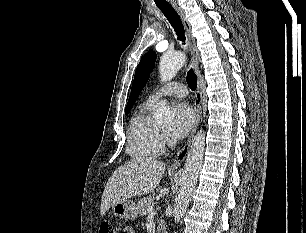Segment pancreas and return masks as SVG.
I'll return each mask as SVG.
<instances>
[{
    "label": "pancreas",
    "instance_id": "cf45deb5",
    "mask_svg": "<svg viewBox=\"0 0 306 233\" xmlns=\"http://www.w3.org/2000/svg\"><path fill=\"white\" fill-rule=\"evenodd\" d=\"M154 199V194H150L149 196H146L138 201L137 207L141 216L147 215V209L149 206H152V204H154ZM160 230H162V228L158 229V231Z\"/></svg>",
    "mask_w": 306,
    "mask_h": 233
}]
</instances>
